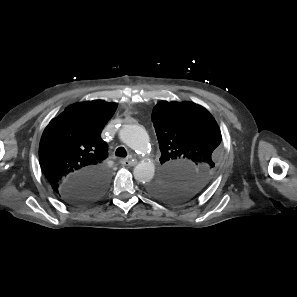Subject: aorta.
Returning a JSON list of instances; mask_svg holds the SVG:
<instances>
[{"label":"aorta","instance_id":"1","mask_svg":"<svg viewBox=\"0 0 297 297\" xmlns=\"http://www.w3.org/2000/svg\"><path fill=\"white\" fill-rule=\"evenodd\" d=\"M120 140L139 154H146L149 148V135L140 125H125L119 132ZM155 173V165L151 160H142L133 171L134 178L141 183H148Z\"/></svg>","mask_w":297,"mask_h":297}]
</instances>
